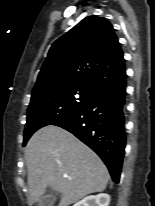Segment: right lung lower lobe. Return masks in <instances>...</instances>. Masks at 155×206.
Returning <instances> with one entry per match:
<instances>
[{"label": "right lung lower lobe", "instance_id": "1", "mask_svg": "<svg viewBox=\"0 0 155 206\" xmlns=\"http://www.w3.org/2000/svg\"><path fill=\"white\" fill-rule=\"evenodd\" d=\"M126 75L101 89L98 95L73 115L55 123L94 150L119 182L126 144Z\"/></svg>", "mask_w": 155, "mask_h": 206}]
</instances>
